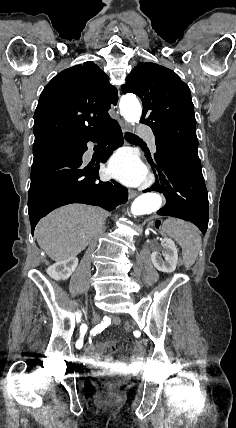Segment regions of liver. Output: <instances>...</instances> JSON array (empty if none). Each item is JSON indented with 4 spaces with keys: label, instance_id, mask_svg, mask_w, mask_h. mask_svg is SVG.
<instances>
[{
    "label": "liver",
    "instance_id": "1",
    "mask_svg": "<svg viewBox=\"0 0 236 428\" xmlns=\"http://www.w3.org/2000/svg\"><path fill=\"white\" fill-rule=\"evenodd\" d=\"M105 224L99 208L70 204L42 218L36 226L38 246L60 262L77 256L94 240Z\"/></svg>",
    "mask_w": 236,
    "mask_h": 428
}]
</instances>
